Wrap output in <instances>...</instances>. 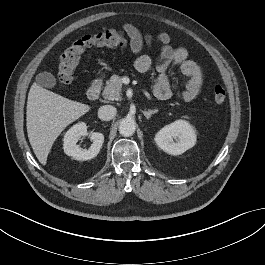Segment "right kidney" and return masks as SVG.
I'll use <instances>...</instances> for the list:
<instances>
[{"label":"right kidney","mask_w":265,"mask_h":265,"mask_svg":"<svg viewBox=\"0 0 265 265\" xmlns=\"http://www.w3.org/2000/svg\"><path fill=\"white\" fill-rule=\"evenodd\" d=\"M87 127L85 123H77L72 126L64 136L63 149L64 152L73 157L75 160L85 161L97 156L104 142V135L99 132L90 134V139L93 141L88 150L81 149L77 142L82 136H87Z\"/></svg>","instance_id":"right-kidney-1"}]
</instances>
